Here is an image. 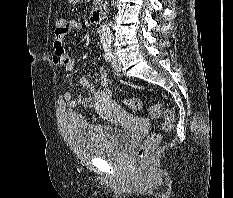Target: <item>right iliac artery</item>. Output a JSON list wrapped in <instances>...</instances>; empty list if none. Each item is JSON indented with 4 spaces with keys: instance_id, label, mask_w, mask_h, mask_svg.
<instances>
[{
    "instance_id": "right-iliac-artery-1",
    "label": "right iliac artery",
    "mask_w": 233,
    "mask_h": 198,
    "mask_svg": "<svg viewBox=\"0 0 233 198\" xmlns=\"http://www.w3.org/2000/svg\"><path fill=\"white\" fill-rule=\"evenodd\" d=\"M103 48H104V52H105V59L107 61H110L112 56H113L112 55V47H111L110 42L103 43Z\"/></svg>"
}]
</instances>
